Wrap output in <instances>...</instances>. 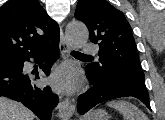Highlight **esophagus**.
Segmentation results:
<instances>
[{
	"instance_id": "1",
	"label": "esophagus",
	"mask_w": 165,
	"mask_h": 120,
	"mask_svg": "<svg viewBox=\"0 0 165 120\" xmlns=\"http://www.w3.org/2000/svg\"><path fill=\"white\" fill-rule=\"evenodd\" d=\"M60 52L63 56H66L69 52L70 48L66 41L65 35L63 33L62 28L60 27V44H59ZM75 112V105L70 99H65L59 105L58 116L61 119L67 120L69 119Z\"/></svg>"
}]
</instances>
